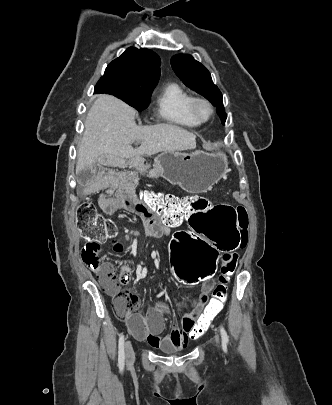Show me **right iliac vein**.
I'll list each match as a JSON object with an SVG mask.
<instances>
[{
    "label": "right iliac vein",
    "instance_id": "1",
    "mask_svg": "<svg viewBox=\"0 0 332 405\" xmlns=\"http://www.w3.org/2000/svg\"><path fill=\"white\" fill-rule=\"evenodd\" d=\"M125 357L127 365H132L135 359V353L130 341H127L125 344Z\"/></svg>",
    "mask_w": 332,
    "mask_h": 405
}]
</instances>
